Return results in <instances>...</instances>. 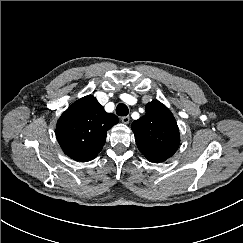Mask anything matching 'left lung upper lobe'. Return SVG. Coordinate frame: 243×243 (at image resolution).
Returning a JSON list of instances; mask_svg holds the SVG:
<instances>
[{
    "label": "left lung upper lobe",
    "instance_id": "1",
    "mask_svg": "<svg viewBox=\"0 0 243 243\" xmlns=\"http://www.w3.org/2000/svg\"><path fill=\"white\" fill-rule=\"evenodd\" d=\"M140 152L150 162H163L177 151L180 136L170 110L157 100L146 105V114L131 126Z\"/></svg>",
    "mask_w": 243,
    "mask_h": 243
}]
</instances>
